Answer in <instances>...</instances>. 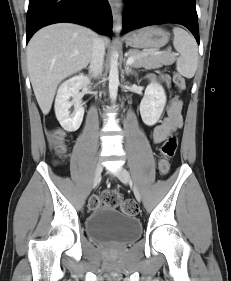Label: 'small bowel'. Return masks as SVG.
Segmentation results:
<instances>
[{
	"instance_id": "1",
	"label": "small bowel",
	"mask_w": 231,
	"mask_h": 281,
	"mask_svg": "<svg viewBox=\"0 0 231 281\" xmlns=\"http://www.w3.org/2000/svg\"><path fill=\"white\" fill-rule=\"evenodd\" d=\"M160 79L163 82H167L166 77H160ZM182 125V101L177 96H173L167 107V116L161 119L160 124L153 127L151 139L155 144H159L171 133L180 129Z\"/></svg>"
}]
</instances>
